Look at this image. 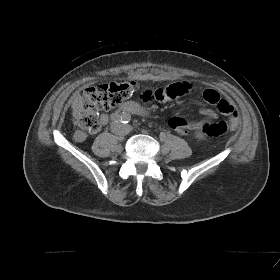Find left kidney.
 Listing matches in <instances>:
<instances>
[{
	"mask_svg": "<svg viewBox=\"0 0 280 280\" xmlns=\"http://www.w3.org/2000/svg\"><path fill=\"white\" fill-rule=\"evenodd\" d=\"M196 137H197L199 140H201V139L204 138V136H203L202 133H197V134H196Z\"/></svg>",
	"mask_w": 280,
	"mask_h": 280,
	"instance_id": "obj_1",
	"label": "left kidney"
}]
</instances>
